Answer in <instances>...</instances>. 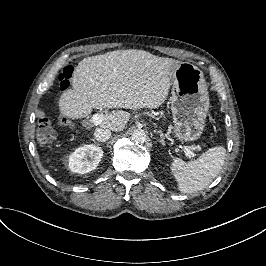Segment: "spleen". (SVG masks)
I'll list each match as a JSON object with an SVG mask.
<instances>
[{
	"label": "spleen",
	"mask_w": 266,
	"mask_h": 266,
	"mask_svg": "<svg viewBox=\"0 0 266 266\" xmlns=\"http://www.w3.org/2000/svg\"><path fill=\"white\" fill-rule=\"evenodd\" d=\"M225 157V147L217 145L211 147L198 160L189 163L181 157H172L169 171L181 193H196L208 187L219 175Z\"/></svg>",
	"instance_id": "1"
}]
</instances>
